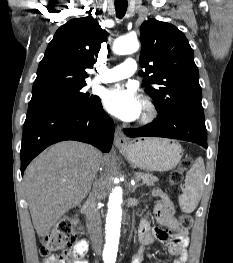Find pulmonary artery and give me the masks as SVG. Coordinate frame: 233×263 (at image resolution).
Returning <instances> with one entry per match:
<instances>
[{"label":"pulmonary artery","mask_w":233,"mask_h":263,"mask_svg":"<svg viewBox=\"0 0 233 263\" xmlns=\"http://www.w3.org/2000/svg\"><path fill=\"white\" fill-rule=\"evenodd\" d=\"M137 70V63L133 58H127L123 63L113 68L106 69L99 75L95 83H111L132 76Z\"/></svg>","instance_id":"1"}]
</instances>
